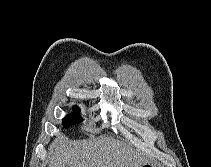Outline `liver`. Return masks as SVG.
I'll return each mask as SVG.
<instances>
[{
    "mask_svg": "<svg viewBox=\"0 0 211 167\" xmlns=\"http://www.w3.org/2000/svg\"><path fill=\"white\" fill-rule=\"evenodd\" d=\"M50 167H140L147 162L137 150L108 137L89 143L56 138L49 148Z\"/></svg>",
    "mask_w": 211,
    "mask_h": 167,
    "instance_id": "liver-1",
    "label": "liver"
}]
</instances>
